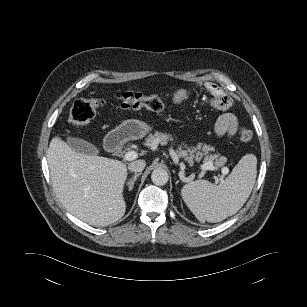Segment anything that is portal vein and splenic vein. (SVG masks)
<instances>
[{
	"mask_svg": "<svg viewBox=\"0 0 307 307\" xmlns=\"http://www.w3.org/2000/svg\"><path fill=\"white\" fill-rule=\"evenodd\" d=\"M137 156H138L137 152L128 151V152L125 153L124 159L127 160V161H132V160L136 159ZM201 170L202 171H208V170L213 171V170H215V167H214L213 163H211V162L210 163H204L203 165H201ZM228 172H229V169L227 167H224L222 169L223 174H227Z\"/></svg>",
	"mask_w": 307,
	"mask_h": 307,
	"instance_id": "obj_1",
	"label": "portal vein and splenic vein"
}]
</instances>
